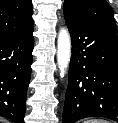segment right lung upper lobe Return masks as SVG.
I'll return each instance as SVG.
<instances>
[{"mask_svg": "<svg viewBox=\"0 0 118 123\" xmlns=\"http://www.w3.org/2000/svg\"><path fill=\"white\" fill-rule=\"evenodd\" d=\"M31 0H0V39L21 35L34 27Z\"/></svg>", "mask_w": 118, "mask_h": 123, "instance_id": "1", "label": "right lung upper lobe"}]
</instances>
